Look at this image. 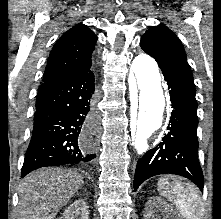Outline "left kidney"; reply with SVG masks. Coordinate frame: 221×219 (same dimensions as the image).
Instances as JSON below:
<instances>
[{"label": "left kidney", "mask_w": 221, "mask_h": 219, "mask_svg": "<svg viewBox=\"0 0 221 219\" xmlns=\"http://www.w3.org/2000/svg\"><path fill=\"white\" fill-rule=\"evenodd\" d=\"M158 212H161L166 218L179 219L173 208L162 198L151 197L145 206V219H157Z\"/></svg>", "instance_id": "obj_1"}]
</instances>
